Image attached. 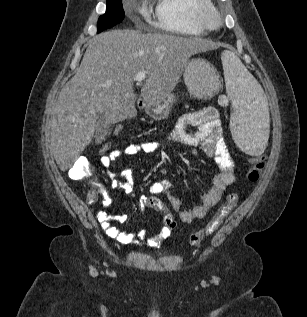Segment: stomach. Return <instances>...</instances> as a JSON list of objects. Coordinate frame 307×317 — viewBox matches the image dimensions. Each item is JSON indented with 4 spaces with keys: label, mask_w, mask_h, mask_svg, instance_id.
<instances>
[{
    "label": "stomach",
    "mask_w": 307,
    "mask_h": 317,
    "mask_svg": "<svg viewBox=\"0 0 307 317\" xmlns=\"http://www.w3.org/2000/svg\"><path fill=\"white\" fill-rule=\"evenodd\" d=\"M183 79L191 97L202 99L210 98L216 94L221 82L215 67L200 57L188 59L183 69ZM173 97L160 101L145 103V110L149 116L156 120L166 119L170 113Z\"/></svg>",
    "instance_id": "0dacf381"
}]
</instances>
